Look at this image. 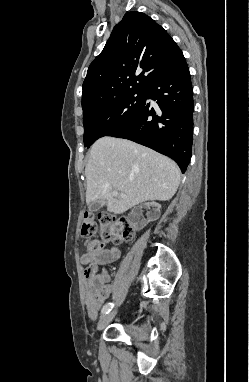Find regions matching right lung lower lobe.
Wrapping results in <instances>:
<instances>
[{"mask_svg":"<svg viewBox=\"0 0 249 382\" xmlns=\"http://www.w3.org/2000/svg\"><path fill=\"white\" fill-rule=\"evenodd\" d=\"M144 91L139 111L108 136L125 138L171 157L184 173L193 135V88L185 59L154 78Z\"/></svg>","mask_w":249,"mask_h":382,"instance_id":"right-lung-lower-lobe-1","label":"right lung lower lobe"}]
</instances>
